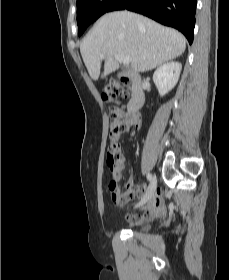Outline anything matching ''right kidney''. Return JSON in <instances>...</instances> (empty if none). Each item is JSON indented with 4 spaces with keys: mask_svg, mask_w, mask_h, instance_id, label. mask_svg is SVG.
Masks as SVG:
<instances>
[{
    "mask_svg": "<svg viewBox=\"0 0 229 280\" xmlns=\"http://www.w3.org/2000/svg\"><path fill=\"white\" fill-rule=\"evenodd\" d=\"M182 65L178 62L165 63L153 74V81L158 89L160 96H164L177 84Z\"/></svg>",
    "mask_w": 229,
    "mask_h": 280,
    "instance_id": "1",
    "label": "right kidney"
}]
</instances>
